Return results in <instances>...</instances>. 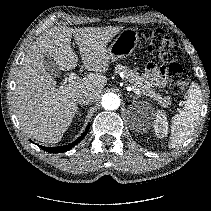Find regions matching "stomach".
<instances>
[{
	"label": "stomach",
	"mask_w": 211,
	"mask_h": 211,
	"mask_svg": "<svg viewBox=\"0 0 211 211\" xmlns=\"http://www.w3.org/2000/svg\"><path fill=\"white\" fill-rule=\"evenodd\" d=\"M139 42V34L133 28L122 30L114 39L107 51L111 60L123 59L131 55Z\"/></svg>",
	"instance_id": "obj_1"
}]
</instances>
